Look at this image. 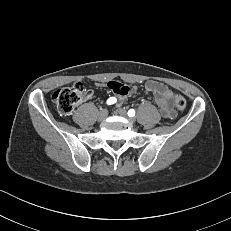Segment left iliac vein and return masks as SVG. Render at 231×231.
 I'll list each match as a JSON object with an SVG mask.
<instances>
[{
  "instance_id": "1",
  "label": "left iliac vein",
  "mask_w": 231,
  "mask_h": 231,
  "mask_svg": "<svg viewBox=\"0 0 231 231\" xmlns=\"http://www.w3.org/2000/svg\"><path fill=\"white\" fill-rule=\"evenodd\" d=\"M118 113H119L120 116L125 117V118H127L128 120H130V121H132V122L135 120L134 118L128 117V116H127V112H126L125 109H122V108L119 109V110H118Z\"/></svg>"
}]
</instances>
